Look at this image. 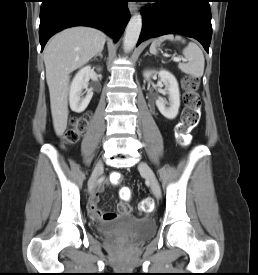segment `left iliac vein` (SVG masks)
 Returning <instances> with one entry per match:
<instances>
[{
    "label": "left iliac vein",
    "instance_id": "1",
    "mask_svg": "<svg viewBox=\"0 0 258 275\" xmlns=\"http://www.w3.org/2000/svg\"><path fill=\"white\" fill-rule=\"evenodd\" d=\"M138 168H139L140 172L145 176L147 181L150 183V187H151V190H152V193L154 194V196L156 198H160V196H161L160 186H159L158 180H157L155 174L153 173L152 169L145 162H141L139 164Z\"/></svg>",
    "mask_w": 258,
    "mask_h": 275
}]
</instances>
